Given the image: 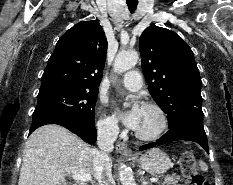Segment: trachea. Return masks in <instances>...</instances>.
<instances>
[{"mask_svg": "<svg viewBox=\"0 0 233 185\" xmlns=\"http://www.w3.org/2000/svg\"><path fill=\"white\" fill-rule=\"evenodd\" d=\"M137 4H138V3H127L128 8H129V11H130L131 13H133V12L136 10Z\"/></svg>", "mask_w": 233, "mask_h": 185, "instance_id": "trachea-1", "label": "trachea"}]
</instances>
